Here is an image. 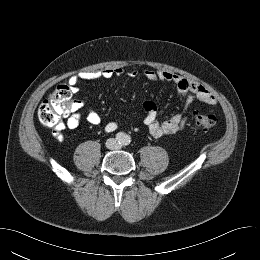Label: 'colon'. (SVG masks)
I'll return each mask as SVG.
<instances>
[{
  "mask_svg": "<svg viewBox=\"0 0 260 260\" xmlns=\"http://www.w3.org/2000/svg\"><path fill=\"white\" fill-rule=\"evenodd\" d=\"M73 94L67 85H58L49 97L39 106L37 116L45 127L54 128L62 123L68 113ZM216 116L211 113L194 114V124L202 130H210L216 124Z\"/></svg>",
  "mask_w": 260,
  "mask_h": 260,
  "instance_id": "5ec220e1",
  "label": "colon"
}]
</instances>
